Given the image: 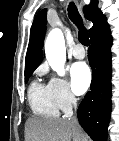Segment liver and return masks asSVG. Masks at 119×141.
<instances>
[{
	"label": "liver",
	"mask_w": 119,
	"mask_h": 141,
	"mask_svg": "<svg viewBox=\"0 0 119 141\" xmlns=\"http://www.w3.org/2000/svg\"><path fill=\"white\" fill-rule=\"evenodd\" d=\"M26 141H88V137L69 119L39 118L27 119Z\"/></svg>",
	"instance_id": "obj_1"
}]
</instances>
